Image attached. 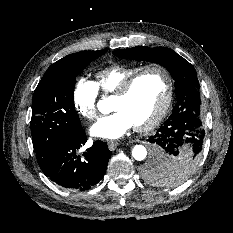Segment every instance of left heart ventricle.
Returning <instances> with one entry per match:
<instances>
[{
	"mask_svg": "<svg viewBox=\"0 0 233 233\" xmlns=\"http://www.w3.org/2000/svg\"><path fill=\"white\" fill-rule=\"evenodd\" d=\"M166 93V79L159 71H148L141 75L128 94L113 97L111 109L121 110L135 125L149 121L161 107Z\"/></svg>",
	"mask_w": 233,
	"mask_h": 233,
	"instance_id": "left-heart-ventricle-1",
	"label": "left heart ventricle"
}]
</instances>
